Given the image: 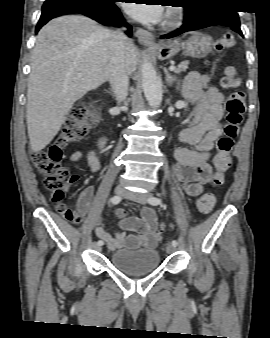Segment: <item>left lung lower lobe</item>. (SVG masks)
<instances>
[{
    "instance_id": "left-lung-lower-lobe-1",
    "label": "left lung lower lobe",
    "mask_w": 270,
    "mask_h": 338,
    "mask_svg": "<svg viewBox=\"0 0 270 338\" xmlns=\"http://www.w3.org/2000/svg\"><path fill=\"white\" fill-rule=\"evenodd\" d=\"M217 25L230 27L242 35L237 11L220 7L202 14L200 17L192 21H185L181 28L169 34L163 35L162 38H173L188 31Z\"/></svg>"
}]
</instances>
